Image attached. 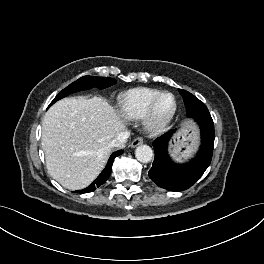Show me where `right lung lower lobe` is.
Here are the masks:
<instances>
[{
  "label": "right lung lower lobe",
  "mask_w": 264,
  "mask_h": 264,
  "mask_svg": "<svg viewBox=\"0 0 264 264\" xmlns=\"http://www.w3.org/2000/svg\"><path fill=\"white\" fill-rule=\"evenodd\" d=\"M123 153V150H119V151H116L114 152L109 160H108V163L105 167V169L101 172V174L97 177L96 180H94L92 182L91 185H89L87 188L85 189H82V190H79V191H76L80 194L82 193H88V192H92L94 191L96 188L100 187L101 185H103L106 180L109 178L110 174H111V170H112V163H113V160L115 157L121 155Z\"/></svg>",
  "instance_id": "obj_1"
}]
</instances>
